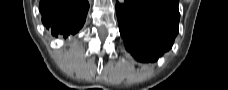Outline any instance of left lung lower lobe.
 I'll return each mask as SVG.
<instances>
[{
	"mask_svg": "<svg viewBox=\"0 0 228 90\" xmlns=\"http://www.w3.org/2000/svg\"><path fill=\"white\" fill-rule=\"evenodd\" d=\"M125 46L143 61H155L168 51L178 33V0H124L116 3Z\"/></svg>",
	"mask_w": 228,
	"mask_h": 90,
	"instance_id": "1",
	"label": "left lung lower lobe"
}]
</instances>
